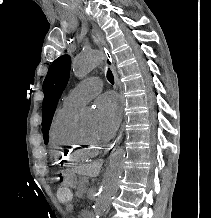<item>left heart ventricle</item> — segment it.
<instances>
[{
    "mask_svg": "<svg viewBox=\"0 0 211 218\" xmlns=\"http://www.w3.org/2000/svg\"><path fill=\"white\" fill-rule=\"evenodd\" d=\"M82 131H83V133H84L86 136H88V137H95V136H97L95 126H94V127L85 128V129H83Z\"/></svg>",
    "mask_w": 211,
    "mask_h": 218,
    "instance_id": "b2bd125f",
    "label": "left heart ventricle"
}]
</instances>
